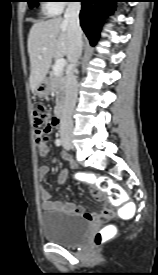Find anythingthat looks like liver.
<instances>
[{
    "mask_svg": "<svg viewBox=\"0 0 158 275\" xmlns=\"http://www.w3.org/2000/svg\"><path fill=\"white\" fill-rule=\"evenodd\" d=\"M68 46V25L63 18L37 21L31 27L28 36V54L31 65L29 82L33 93L46 77L52 59L66 56Z\"/></svg>",
    "mask_w": 158,
    "mask_h": 275,
    "instance_id": "obj_1",
    "label": "liver"
}]
</instances>
